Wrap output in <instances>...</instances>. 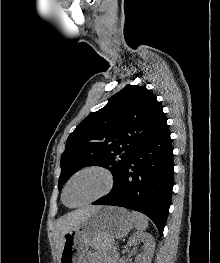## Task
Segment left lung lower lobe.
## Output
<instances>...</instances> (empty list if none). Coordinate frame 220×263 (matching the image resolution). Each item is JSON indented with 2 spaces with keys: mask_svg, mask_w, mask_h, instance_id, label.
<instances>
[{
  "mask_svg": "<svg viewBox=\"0 0 220 263\" xmlns=\"http://www.w3.org/2000/svg\"><path fill=\"white\" fill-rule=\"evenodd\" d=\"M173 167V148L165 118L135 147L110 193L92 204L139 211L163 234L174 185Z\"/></svg>",
  "mask_w": 220,
  "mask_h": 263,
  "instance_id": "0a47b994",
  "label": "left lung lower lobe"
}]
</instances>
